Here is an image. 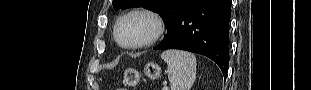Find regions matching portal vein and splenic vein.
I'll return each instance as SVG.
<instances>
[{"label": "portal vein and splenic vein", "instance_id": "18ae733b", "mask_svg": "<svg viewBox=\"0 0 311 90\" xmlns=\"http://www.w3.org/2000/svg\"><path fill=\"white\" fill-rule=\"evenodd\" d=\"M163 90H168V87L165 85V86L163 87Z\"/></svg>", "mask_w": 311, "mask_h": 90}]
</instances>
